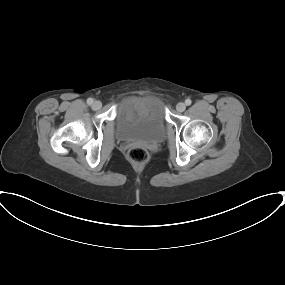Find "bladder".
Returning a JSON list of instances; mask_svg holds the SVG:
<instances>
[{
	"instance_id": "bladder-1",
	"label": "bladder",
	"mask_w": 285,
	"mask_h": 285,
	"mask_svg": "<svg viewBox=\"0 0 285 285\" xmlns=\"http://www.w3.org/2000/svg\"><path fill=\"white\" fill-rule=\"evenodd\" d=\"M116 136L124 142H162L166 125L161 101L157 98L125 101L116 114Z\"/></svg>"
}]
</instances>
